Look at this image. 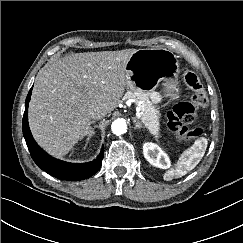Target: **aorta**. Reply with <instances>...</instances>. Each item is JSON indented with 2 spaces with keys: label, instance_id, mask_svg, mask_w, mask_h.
Wrapping results in <instances>:
<instances>
[{
  "label": "aorta",
  "instance_id": "762f6f07",
  "mask_svg": "<svg viewBox=\"0 0 243 243\" xmlns=\"http://www.w3.org/2000/svg\"><path fill=\"white\" fill-rule=\"evenodd\" d=\"M112 132L115 135H122L126 132L127 125L125 120L123 119H117L115 120L111 125Z\"/></svg>",
  "mask_w": 243,
  "mask_h": 243
}]
</instances>
